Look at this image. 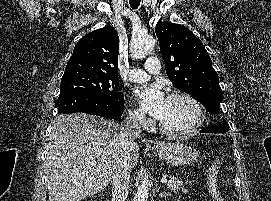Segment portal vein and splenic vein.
<instances>
[{"mask_svg": "<svg viewBox=\"0 0 271 201\" xmlns=\"http://www.w3.org/2000/svg\"><path fill=\"white\" fill-rule=\"evenodd\" d=\"M167 181L168 180L165 177L161 179V183H167Z\"/></svg>", "mask_w": 271, "mask_h": 201, "instance_id": "portal-vein-and-splenic-vein-1", "label": "portal vein and splenic vein"}]
</instances>
